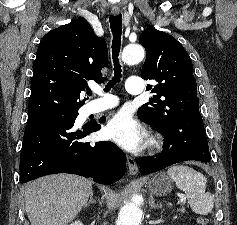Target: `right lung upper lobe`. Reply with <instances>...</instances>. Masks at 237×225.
Masks as SVG:
<instances>
[{"label": "right lung upper lobe", "instance_id": "1", "mask_svg": "<svg viewBox=\"0 0 237 225\" xmlns=\"http://www.w3.org/2000/svg\"><path fill=\"white\" fill-rule=\"evenodd\" d=\"M104 39L97 37L83 19L71 21L47 33L33 64L28 118L78 112L80 93L87 80L102 83L107 65Z\"/></svg>", "mask_w": 237, "mask_h": 225}]
</instances>
